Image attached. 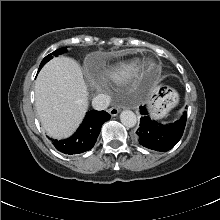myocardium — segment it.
<instances>
[{
    "label": "myocardium",
    "instance_id": "myocardium-1",
    "mask_svg": "<svg viewBox=\"0 0 220 220\" xmlns=\"http://www.w3.org/2000/svg\"><path fill=\"white\" fill-rule=\"evenodd\" d=\"M148 64V59L144 60L142 63V69L145 70Z\"/></svg>",
    "mask_w": 220,
    "mask_h": 220
}]
</instances>
